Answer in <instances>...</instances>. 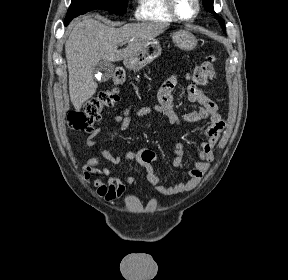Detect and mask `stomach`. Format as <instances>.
Instances as JSON below:
<instances>
[{"mask_svg":"<svg viewBox=\"0 0 288 280\" xmlns=\"http://www.w3.org/2000/svg\"><path fill=\"white\" fill-rule=\"evenodd\" d=\"M174 44L182 50H193L197 45L195 36L188 30H179L172 34ZM162 48L157 39L150 40L135 54L127 57L124 64L134 70H139L161 55Z\"/></svg>","mask_w":288,"mask_h":280,"instance_id":"stomach-1","label":"stomach"}]
</instances>
